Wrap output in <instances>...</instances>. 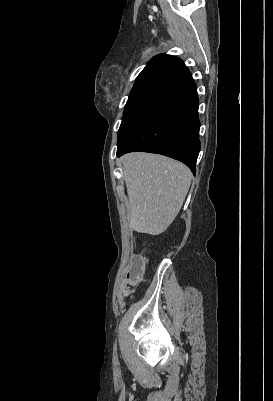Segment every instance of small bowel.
<instances>
[{
  "instance_id": "small-bowel-1",
  "label": "small bowel",
  "mask_w": 273,
  "mask_h": 401,
  "mask_svg": "<svg viewBox=\"0 0 273 401\" xmlns=\"http://www.w3.org/2000/svg\"><path fill=\"white\" fill-rule=\"evenodd\" d=\"M124 297H130V292H124Z\"/></svg>"
}]
</instances>
